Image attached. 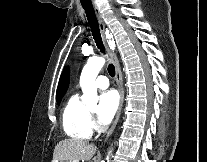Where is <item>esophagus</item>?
<instances>
[{
    "label": "esophagus",
    "mask_w": 207,
    "mask_h": 162,
    "mask_svg": "<svg viewBox=\"0 0 207 162\" xmlns=\"http://www.w3.org/2000/svg\"><path fill=\"white\" fill-rule=\"evenodd\" d=\"M92 5H93L95 16H96L97 21H98V25H99L101 36H102V39H103V43H104L105 48H106L108 54L110 55V58H111L114 66H115V74H116L115 75V80H116L118 90H119V93H120L119 108L117 110L115 120H114L111 128L109 129V131L107 133V136H106V139H107L112 134V132L114 131V129H115V127H116V125L119 121L121 111H122V108H123V104H124L125 92H124V88H123L121 68H120V65H119L117 55L115 53L116 45H115L114 38H113L112 35L111 36L106 35L105 24H104V21L102 19V15L100 13V10H99L95 0H92Z\"/></svg>",
    "instance_id": "obj_1"
}]
</instances>
